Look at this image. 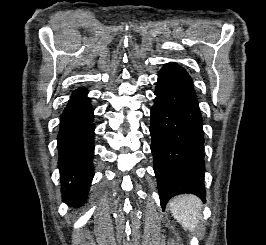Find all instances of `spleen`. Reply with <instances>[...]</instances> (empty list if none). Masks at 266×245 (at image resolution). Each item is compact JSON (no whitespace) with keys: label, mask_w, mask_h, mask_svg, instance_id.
I'll return each mask as SVG.
<instances>
[{"label":"spleen","mask_w":266,"mask_h":245,"mask_svg":"<svg viewBox=\"0 0 266 245\" xmlns=\"http://www.w3.org/2000/svg\"><path fill=\"white\" fill-rule=\"evenodd\" d=\"M168 207L172 217L180 223L181 227L188 229L190 233H195L198 223H200L202 213V203L195 195H179L171 199Z\"/></svg>","instance_id":"3e777b00"}]
</instances>
